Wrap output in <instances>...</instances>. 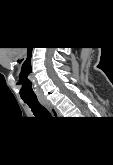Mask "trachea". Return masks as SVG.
<instances>
[{"label": "trachea", "instance_id": "obj_1", "mask_svg": "<svg viewBox=\"0 0 113 165\" xmlns=\"http://www.w3.org/2000/svg\"><path fill=\"white\" fill-rule=\"evenodd\" d=\"M37 117H51L49 111L38 100H24Z\"/></svg>", "mask_w": 113, "mask_h": 165}]
</instances>
